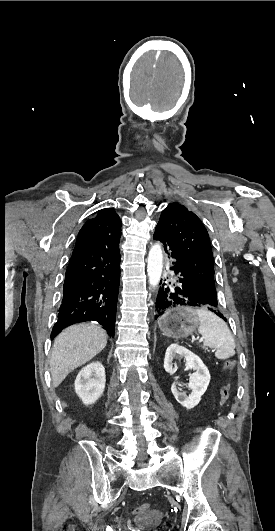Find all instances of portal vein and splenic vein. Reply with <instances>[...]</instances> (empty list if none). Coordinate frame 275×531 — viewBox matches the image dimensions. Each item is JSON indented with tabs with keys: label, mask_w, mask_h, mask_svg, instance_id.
<instances>
[{
	"label": "portal vein and splenic vein",
	"mask_w": 275,
	"mask_h": 531,
	"mask_svg": "<svg viewBox=\"0 0 275 531\" xmlns=\"http://www.w3.org/2000/svg\"><path fill=\"white\" fill-rule=\"evenodd\" d=\"M192 342H195V339H192ZM200 342H205V339H198L197 344H200ZM212 353H215V350H212Z\"/></svg>",
	"instance_id": "18ae733b"
}]
</instances>
